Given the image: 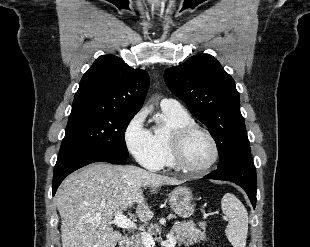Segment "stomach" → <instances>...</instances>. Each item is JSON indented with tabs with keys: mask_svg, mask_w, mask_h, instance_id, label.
<instances>
[{
	"mask_svg": "<svg viewBox=\"0 0 310 247\" xmlns=\"http://www.w3.org/2000/svg\"><path fill=\"white\" fill-rule=\"evenodd\" d=\"M169 205L173 212L182 218H188L194 213V197L187 187H178L169 193Z\"/></svg>",
	"mask_w": 310,
	"mask_h": 247,
	"instance_id": "0dacf381",
	"label": "stomach"
}]
</instances>
